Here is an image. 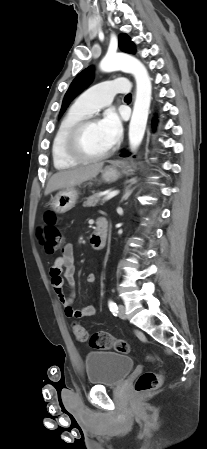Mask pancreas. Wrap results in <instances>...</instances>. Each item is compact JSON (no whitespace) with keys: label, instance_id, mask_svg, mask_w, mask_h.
Masks as SVG:
<instances>
[{"label":"pancreas","instance_id":"pancreas-1","mask_svg":"<svg viewBox=\"0 0 207 449\" xmlns=\"http://www.w3.org/2000/svg\"><path fill=\"white\" fill-rule=\"evenodd\" d=\"M99 201H100V195H99V193H96V194L90 196L89 198H87V200L84 202L83 206L84 207H94L98 204Z\"/></svg>","mask_w":207,"mask_h":449}]
</instances>
